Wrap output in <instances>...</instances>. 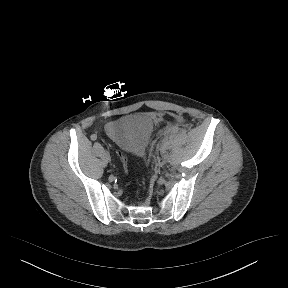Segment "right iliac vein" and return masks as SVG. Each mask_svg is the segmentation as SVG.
I'll return each mask as SVG.
<instances>
[{"mask_svg": "<svg viewBox=\"0 0 288 288\" xmlns=\"http://www.w3.org/2000/svg\"><path fill=\"white\" fill-rule=\"evenodd\" d=\"M106 158H107V160H109V161H110V159H111L110 153H109L108 151H106Z\"/></svg>", "mask_w": 288, "mask_h": 288, "instance_id": "1", "label": "right iliac vein"}]
</instances>
